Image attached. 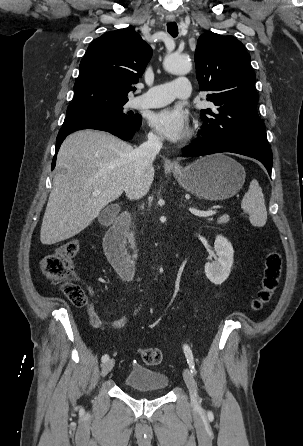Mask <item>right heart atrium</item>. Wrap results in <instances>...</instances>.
<instances>
[{"label":"right heart atrium","instance_id":"right-heart-atrium-1","mask_svg":"<svg viewBox=\"0 0 303 446\" xmlns=\"http://www.w3.org/2000/svg\"><path fill=\"white\" fill-rule=\"evenodd\" d=\"M149 139L152 142H158L160 138L153 132L149 133Z\"/></svg>","mask_w":303,"mask_h":446}]
</instances>
